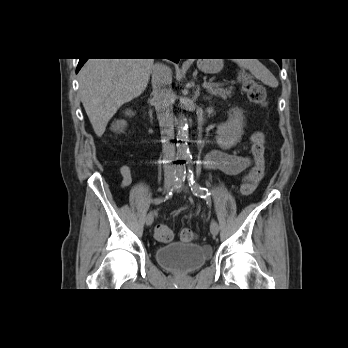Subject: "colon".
<instances>
[{"label": "colon", "mask_w": 348, "mask_h": 348, "mask_svg": "<svg viewBox=\"0 0 348 348\" xmlns=\"http://www.w3.org/2000/svg\"><path fill=\"white\" fill-rule=\"evenodd\" d=\"M240 82L243 85L248 99L256 104H263L266 101L265 88L254 81L248 73L241 72L239 74ZM251 151L253 155V164L248 172V180L241 186L243 195L251 194L257 181L263 175L265 170V136L262 132L257 131L251 136ZM155 238L161 242H169L173 238L171 229L166 224H158L154 231ZM181 240L189 242L195 238V234L190 229H183L180 234Z\"/></svg>", "instance_id": "colon-1"}]
</instances>
